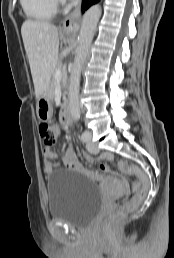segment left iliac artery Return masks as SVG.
<instances>
[{
    "label": "left iliac artery",
    "instance_id": "1",
    "mask_svg": "<svg viewBox=\"0 0 174 258\" xmlns=\"http://www.w3.org/2000/svg\"><path fill=\"white\" fill-rule=\"evenodd\" d=\"M81 140L84 141V142H87L89 140L88 132L85 131V132L82 133Z\"/></svg>",
    "mask_w": 174,
    "mask_h": 258
}]
</instances>
